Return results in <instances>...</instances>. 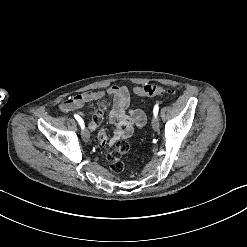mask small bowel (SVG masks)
Wrapping results in <instances>:
<instances>
[{
  "label": "small bowel",
  "instance_id": "1",
  "mask_svg": "<svg viewBox=\"0 0 247 247\" xmlns=\"http://www.w3.org/2000/svg\"><path fill=\"white\" fill-rule=\"evenodd\" d=\"M107 96L112 99L108 120L113 125V137L109 145L114 146L120 142L115 147L116 151H107L105 157L109 161H114L113 165L116 171L122 173L125 171L126 166L120 154L130 150L131 144L127 140L133 136L136 128H142L147 121L146 114L142 110L130 108L132 101L131 89L125 85H113L107 91L83 92L68 97L60 103L59 108L61 111L68 112L80 109L93 101H103L100 112L87 125L89 130H94L101 119V112L107 107L105 103ZM95 140L99 144H104L107 142L108 137L104 133H99L96 135Z\"/></svg>",
  "mask_w": 247,
  "mask_h": 247
}]
</instances>
